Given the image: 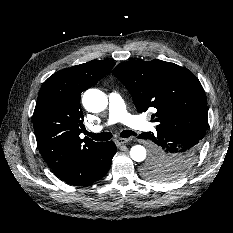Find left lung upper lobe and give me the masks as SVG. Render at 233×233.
Listing matches in <instances>:
<instances>
[{
  "instance_id": "5c2ea615",
  "label": "left lung upper lobe",
  "mask_w": 233,
  "mask_h": 233,
  "mask_svg": "<svg viewBox=\"0 0 233 233\" xmlns=\"http://www.w3.org/2000/svg\"><path fill=\"white\" fill-rule=\"evenodd\" d=\"M112 73L130 92L140 113L155 108L151 118L157 122V130H192L204 138L208 128L206 96L201 83L188 69L158 59L130 60L118 64ZM160 170L171 168L152 158L143 173L156 181L176 180L159 176Z\"/></svg>"
}]
</instances>
